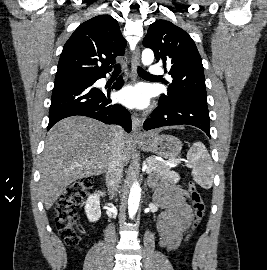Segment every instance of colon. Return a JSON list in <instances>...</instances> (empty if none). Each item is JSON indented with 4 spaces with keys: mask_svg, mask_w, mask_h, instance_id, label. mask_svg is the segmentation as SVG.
Returning <instances> with one entry per match:
<instances>
[{
    "mask_svg": "<svg viewBox=\"0 0 267 270\" xmlns=\"http://www.w3.org/2000/svg\"><path fill=\"white\" fill-rule=\"evenodd\" d=\"M91 186L92 182L90 179H79L69 185L56 201V228L63 241L69 246H76L79 243L80 217L77 206L86 198ZM188 190L193 202L194 219L192 231H194L205 215L206 205L197 186L193 182L189 183Z\"/></svg>",
    "mask_w": 267,
    "mask_h": 270,
    "instance_id": "5ec220e1",
    "label": "colon"
}]
</instances>
